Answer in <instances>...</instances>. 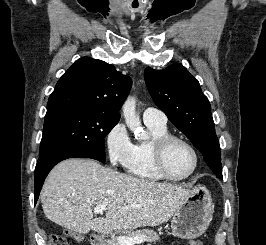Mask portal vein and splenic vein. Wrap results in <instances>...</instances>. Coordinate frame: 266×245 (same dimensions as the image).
<instances>
[{"mask_svg": "<svg viewBox=\"0 0 266 245\" xmlns=\"http://www.w3.org/2000/svg\"><path fill=\"white\" fill-rule=\"evenodd\" d=\"M107 211L106 205H96L94 209L95 215H103ZM118 245H135V243H145V237H117Z\"/></svg>", "mask_w": 266, "mask_h": 245, "instance_id": "obj_1", "label": "portal vein and splenic vein"}]
</instances>
